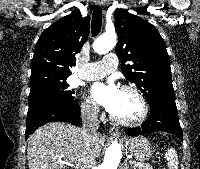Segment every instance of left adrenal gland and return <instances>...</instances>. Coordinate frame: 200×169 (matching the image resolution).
Segmentation results:
<instances>
[{
	"label": "left adrenal gland",
	"mask_w": 200,
	"mask_h": 169,
	"mask_svg": "<svg viewBox=\"0 0 200 169\" xmlns=\"http://www.w3.org/2000/svg\"><path fill=\"white\" fill-rule=\"evenodd\" d=\"M121 169H131L129 164H128V159L124 160V163L122 164Z\"/></svg>",
	"instance_id": "a2214340"
}]
</instances>
